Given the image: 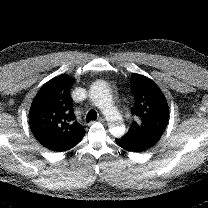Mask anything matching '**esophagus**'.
<instances>
[{
    "mask_svg": "<svg viewBox=\"0 0 208 208\" xmlns=\"http://www.w3.org/2000/svg\"><path fill=\"white\" fill-rule=\"evenodd\" d=\"M98 122L106 124V120L103 117H99Z\"/></svg>",
    "mask_w": 208,
    "mask_h": 208,
    "instance_id": "obj_1",
    "label": "esophagus"
}]
</instances>
